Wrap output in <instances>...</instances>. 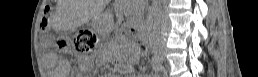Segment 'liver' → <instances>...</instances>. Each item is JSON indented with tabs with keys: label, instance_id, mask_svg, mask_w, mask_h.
<instances>
[{
	"label": "liver",
	"instance_id": "1",
	"mask_svg": "<svg viewBox=\"0 0 258 77\" xmlns=\"http://www.w3.org/2000/svg\"><path fill=\"white\" fill-rule=\"evenodd\" d=\"M106 1L59 0V22L67 28L79 26L100 16ZM66 13L69 18H63Z\"/></svg>",
	"mask_w": 258,
	"mask_h": 77
}]
</instances>
